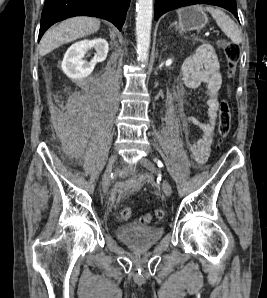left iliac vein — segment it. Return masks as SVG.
Here are the masks:
<instances>
[{
	"instance_id": "4c4485c4",
	"label": "left iliac vein",
	"mask_w": 267,
	"mask_h": 298,
	"mask_svg": "<svg viewBox=\"0 0 267 298\" xmlns=\"http://www.w3.org/2000/svg\"><path fill=\"white\" fill-rule=\"evenodd\" d=\"M140 164L143 167H145L146 169H148L149 171H151L153 173H156L155 165L148 158H146V157L141 158L140 159ZM162 189H163V192L166 196H171V194H172L171 185L165 179L162 180Z\"/></svg>"
}]
</instances>
